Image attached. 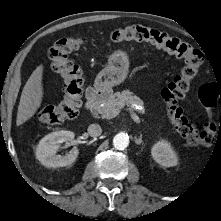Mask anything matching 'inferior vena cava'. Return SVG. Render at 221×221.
Segmentation results:
<instances>
[{"instance_id": "602c4592", "label": "inferior vena cava", "mask_w": 221, "mask_h": 221, "mask_svg": "<svg viewBox=\"0 0 221 221\" xmlns=\"http://www.w3.org/2000/svg\"><path fill=\"white\" fill-rule=\"evenodd\" d=\"M87 131L91 137H98L102 134V129L98 124L89 125Z\"/></svg>"}]
</instances>
